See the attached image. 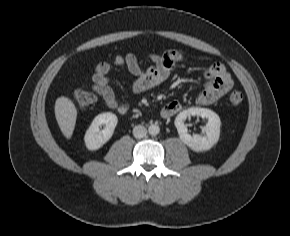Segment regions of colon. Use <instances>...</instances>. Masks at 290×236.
<instances>
[{
    "mask_svg": "<svg viewBox=\"0 0 290 236\" xmlns=\"http://www.w3.org/2000/svg\"><path fill=\"white\" fill-rule=\"evenodd\" d=\"M243 99L244 96L239 91H234L230 95V101L235 105L240 104ZM74 100L80 109H87L94 103L95 97L90 91L82 88L75 91Z\"/></svg>",
    "mask_w": 290,
    "mask_h": 236,
    "instance_id": "obj_1",
    "label": "colon"
}]
</instances>
